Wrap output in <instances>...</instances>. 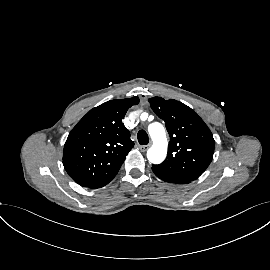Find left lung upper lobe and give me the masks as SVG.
Here are the masks:
<instances>
[{
	"mask_svg": "<svg viewBox=\"0 0 270 270\" xmlns=\"http://www.w3.org/2000/svg\"><path fill=\"white\" fill-rule=\"evenodd\" d=\"M148 101L164 120L170 136L167 158L153 167L196 180L213 158L215 141L211 131L196 112L179 101L160 97Z\"/></svg>",
	"mask_w": 270,
	"mask_h": 270,
	"instance_id": "left-lung-upper-lobe-1",
	"label": "left lung upper lobe"
}]
</instances>
